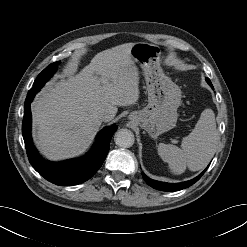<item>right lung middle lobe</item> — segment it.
Masks as SVG:
<instances>
[{
	"mask_svg": "<svg viewBox=\"0 0 247 247\" xmlns=\"http://www.w3.org/2000/svg\"><path fill=\"white\" fill-rule=\"evenodd\" d=\"M59 62H54L50 64L48 67H46L36 78V80L33 83V88L31 89H40L49 79L50 77L55 73L56 66Z\"/></svg>",
	"mask_w": 247,
	"mask_h": 247,
	"instance_id": "1",
	"label": "right lung middle lobe"
}]
</instances>
